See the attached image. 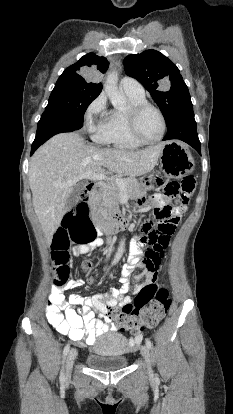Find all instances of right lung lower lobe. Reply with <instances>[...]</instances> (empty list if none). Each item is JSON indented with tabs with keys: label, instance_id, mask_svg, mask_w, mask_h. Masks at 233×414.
Returning <instances> with one entry per match:
<instances>
[{
	"label": "right lung lower lobe",
	"instance_id": "right-lung-lower-lobe-1",
	"mask_svg": "<svg viewBox=\"0 0 233 414\" xmlns=\"http://www.w3.org/2000/svg\"><path fill=\"white\" fill-rule=\"evenodd\" d=\"M82 126L83 122L81 121L62 116L58 113L45 111L38 122L37 134L32 144L31 155L52 136L58 133L72 132L80 129Z\"/></svg>",
	"mask_w": 233,
	"mask_h": 414
}]
</instances>
